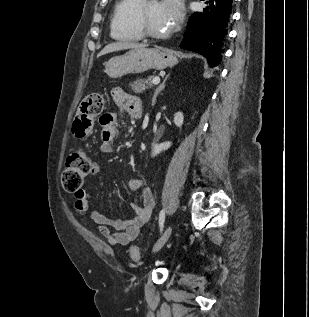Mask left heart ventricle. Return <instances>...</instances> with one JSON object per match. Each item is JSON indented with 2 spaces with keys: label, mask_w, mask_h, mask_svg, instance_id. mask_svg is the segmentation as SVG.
<instances>
[{
  "label": "left heart ventricle",
  "mask_w": 309,
  "mask_h": 317,
  "mask_svg": "<svg viewBox=\"0 0 309 317\" xmlns=\"http://www.w3.org/2000/svg\"><path fill=\"white\" fill-rule=\"evenodd\" d=\"M146 20L149 28L156 33H166L172 28L160 2L147 3Z\"/></svg>",
  "instance_id": "b2bd125f"
}]
</instances>
